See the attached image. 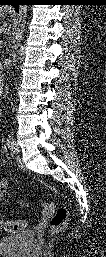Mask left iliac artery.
<instances>
[{
  "instance_id": "obj_1",
  "label": "left iliac artery",
  "mask_w": 106,
  "mask_h": 257,
  "mask_svg": "<svg viewBox=\"0 0 106 257\" xmlns=\"http://www.w3.org/2000/svg\"><path fill=\"white\" fill-rule=\"evenodd\" d=\"M6 144H7L9 149H12L13 144H14V140H13V137L11 136V134H8Z\"/></svg>"
}]
</instances>
